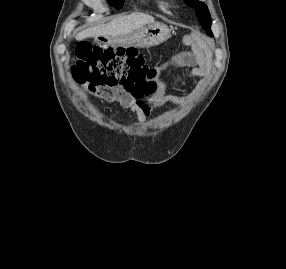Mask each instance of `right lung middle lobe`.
<instances>
[{"label": "right lung middle lobe", "instance_id": "right-lung-middle-lobe-1", "mask_svg": "<svg viewBox=\"0 0 286 269\" xmlns=\"http://www.w3.org/2000/svg\"><path fill=\"white\" fill-rule=\"evenodd\" d=\"M124 0H109V3L116 8H121L123 5Z\"/></svg>", "mask_w": 286, "mask_h": 269}]
</instances>
